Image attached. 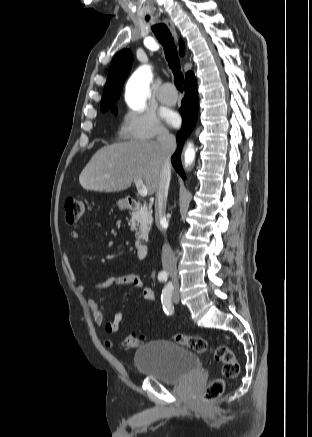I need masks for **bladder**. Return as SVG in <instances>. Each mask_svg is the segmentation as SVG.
Returning <instances> with one entry per match:
<instances>
[{"instance_id":"bladder-1","label":"bladder","mask_w":312,"mask_h":437,"mask_svg":"<svg viewBox=\"0 0 312 437\" xmlns=\"http://www.w3.org/2000/svg\"><path fill=\"white\" fill-rule=\"evenodd\" d=\"M139 373L166 384H179L191 375H201L202 366L196 353L170 340H153L134 354Z\"/></svg>"}]
</instances>
